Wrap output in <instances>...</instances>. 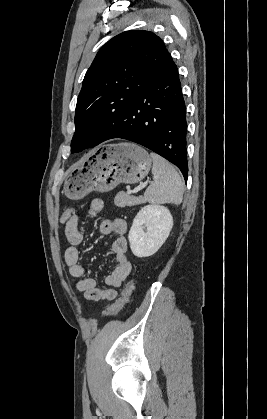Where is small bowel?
I'll use <instances>...</instances> for the list:
<instances>
[{"instance_id":"1","label":"small bowel","mask_w":267,"mask_h":419,"mask_svg":"<svg viewBox=\"0 0 267 419\" xmlns=\"http://www.w3.org/2000/svg\"><path fill=\"white\" fill-rule=\"evenodd\" d=\"M104 208L101 199H94L90 203L88 215L93 218L99 215ZM79 215H73L65 224V235L70 246L65 251V262L71 276L78 279L77 289L84 294L87 300L105 301L113 300L117 296L116 288L126 280L131 272V263L127 256V240L124 236L127 225L121 218L114 220L104 219L100 223V232L104 235L114 236L111 244L115 268L105 278V285L99 287L95 279L87 276L86 268L80 263L78 246L84 239L78 228Z\"/></svg>"}]
</instances>
